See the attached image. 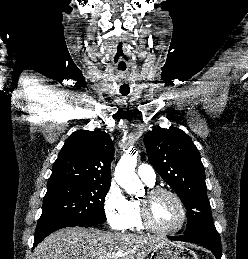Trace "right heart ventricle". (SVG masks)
I'll return each instance as SVG.
<instances>
[{"label":"right heart ventricle","instance_id":"right-heart-ventricle-1","mask_svg":"<svg viewBox=\"0 0 248 259\" xmlns=\"http://www.w3.org/2000/svg\"><path fill=\"white\" fill-rule=\"evenodd\" d=\"M125 229L137 232L147 229L142 222L140 214V201L137 199L130 200L129 215Z\"/></svg>","mask_w":248,"mask_h":259}]
</instances>
